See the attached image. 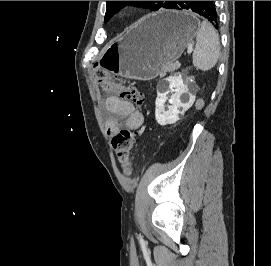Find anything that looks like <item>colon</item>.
I'll return each mask as SVG.
<instances>
[{"label":"colon","instance_id":"colon-1","mask_svg":"<svg viewBox=\"0 0 271 266\" xmlns=\"http://www.w3.org/2000/svg\"><path fill=\"white\" fill-rule=\"evenodd\" d=\"M94 77L99 87L106 93L133 102L142 107L145 103L144 94L123 79L113 76L103 68L96 66ZM112 147L126 173L131 171L130 155L136 144V134L129 129H121L112 137Z\"/></svg>","mask_w":271,"mask_h":266}]
</instances>
